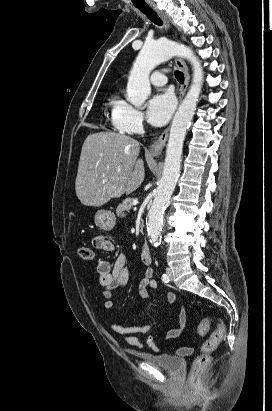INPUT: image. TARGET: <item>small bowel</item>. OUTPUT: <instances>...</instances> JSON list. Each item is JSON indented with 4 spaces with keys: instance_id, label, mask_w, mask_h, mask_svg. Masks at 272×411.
Wrapping results in <instances>:
<instances>
[{
    "instance_id": "small-bowel-1",
    "label": "small bowel",
    "mask_w": 272,
    "mask_h": 411,
    "mask_svg": "<svg viewBox=\"0 0 272 411\" xmlns=\"http://www.w3.org/2000/svg\"><path fill=\"white\" fill-rule=\"evenodd\" d=\"M93 246L101 251L113 253L116 251L115 244L107 239L103 234H96L92 239ZM128 259L124 254H119L116 260L111 263L107 260H100L97 263V272L99 275V283L103 287V297L105 298L104 309L107 312H111L114 308V302L112 301L114 291L126 287L129 283L130 274L127 267ZM153 268L147 266L144 271V277L139 284V294L143 300H150L149 289L157 291L158 284L153 278ZM167 302L173 305L176 301V296L173 292L168 291L165 293ZM178 327L168 329L163 333L164 339H172L179 337L183 334L186 325V310L182 307L177 316ZM157 324V321L136 325L131 327H125L117 323H111L110 328L116 334L122 337L125 343L142 349L144 344L154 352L159 351V347L156 344L158 336L161 331H156L147 336L145 342H142L137 335H144L149 333L152 328ZM193 351L191 347H185L178 349V354L185 355Z\"/></svg>"
}]
</instances>
